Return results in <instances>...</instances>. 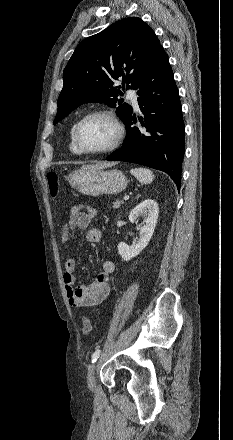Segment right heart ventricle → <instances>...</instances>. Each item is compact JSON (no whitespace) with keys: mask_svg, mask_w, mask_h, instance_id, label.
I'll list each match as a JSON object with an SVG mask.
<instances>
[{"mask_svg":"<svg viewBox=\"0 0 233 440\" xmlns=\"http://www.w3.org/2000/svg\"><path fill=\"white\" fill-rule=\"evenodd\" d=\"M75 124L76 123H74L70 129L69 150L71 151V153L78 155L80 153L77 151V149L75 148L74 143H73V129H74Z\"/></svg>","mask_w":233,"mask_h":440,"instance_id":"right-heart-ventricle-1","label":"right heart ventricle"}]
</instances>
